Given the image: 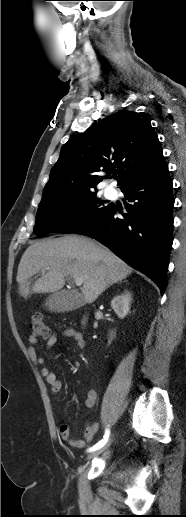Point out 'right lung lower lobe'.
Segmentation results:
<instances>
[{
  "label": "right lung lower lobe",
  "mask_w": 186,
  "mask_h": 517,
  "mask_svg": "<svg viewBox=\"0 0 186 517\" xmlns=\"http://www.w3.org/2000/svg\"><path fill=\"white\" fill-rule=\"evenodd\" d=\"M173 185L165 163L121 191L126 196L123 219L110 207L88 225L73 233L96 239L136 270L149 276L160 288L166 275L173 237Z\"/></svg>",
  "instance_id": "right-lung-lower-lobe-1"
}]
</instances>
